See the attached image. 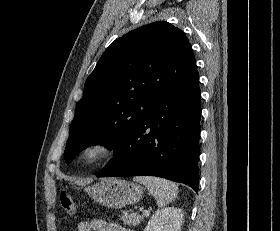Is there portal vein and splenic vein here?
Wrapping results in <instances>:
<instances>
[{
  "mask_svg": "<svg viewBox=\"0 0 280 231\" xmlns=\"http://www.w3.org/2000/svg\"><path fill=\"white\" fill-rule=\"evenodd\" d=\"M143 215H149V211H147V209H143Z\"/></svg>",
  "mask_w": 280,
  "mask_h": 231,
  "instance_id": "obj_1",
  "label": "portal vein and splenic vein"
}]
</instances>
